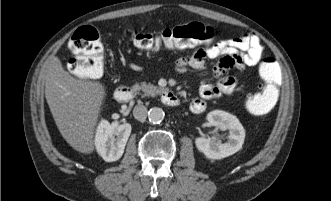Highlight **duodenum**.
Returning a JSON list of instances; mask_svg holds the SVG:
<instances>
[{"label": "duodenum", "instance_id": "obj_1", "mask_svg": "<svg viewBox=\"0 0 331 201\" xmlns=\"http://www.w3.org/2000/svg\"><path fill=\"white\" fill-rule=\"evenodd\" d=\"M135 95L133 87L128 85L119 86L114 92V98L117 102L124 103L129 101ZM161 100L168 106H177L179 104V98L175 93L170 90H164L161 93Z\"/></svg>", "mask_w": 331, "mask_h": 201}]
</instances>
